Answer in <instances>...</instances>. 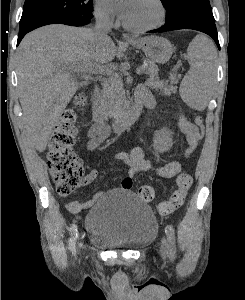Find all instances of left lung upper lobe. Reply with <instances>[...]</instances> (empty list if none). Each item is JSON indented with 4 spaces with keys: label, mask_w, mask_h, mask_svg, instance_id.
Masks as SVG:
<instances>
[{
    "label": "left lung upper lobe",
    "mask_w": 245,
    "mask_h": 300,
    "mask_svg": "<svg viewBox=\"0 0 245 300\" xmlns=\"http://www.w3.org/2000/svg\"><path fill=\"white\" fill-rule=\"evenodd\" d=\"M166 9V23L182 15H194L215 21L209 0H161Z\"/></svg>",
    "instance_id": "5c2ea615"
}]
</instances>
